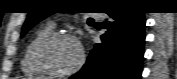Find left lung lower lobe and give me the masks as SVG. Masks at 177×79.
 <instances>
[{
	"instance_id": "obj_1",
	"label": "left lung lower lobe",
	"mask_w": 177,
	"mask_h": 79,
	"mask_svg": "<svg viewBox=\"0 0 177 79\" xmlns=\"http://www.w3.org/2000/svg\"><path fill=\"white\" fill-rule=\"evenodd\" d=\"M107 29L83 68L70 79H140L145 42L143 12H107Z\"/></svg>"
}]
</instances>
